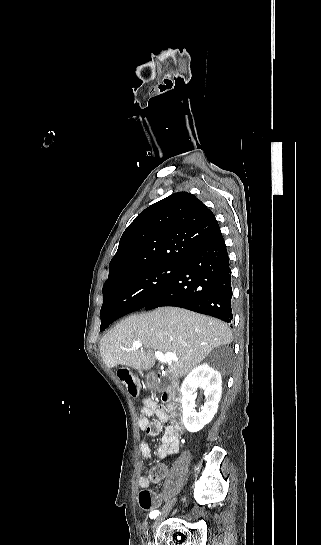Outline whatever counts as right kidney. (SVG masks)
Instances as JSON below:
<instances>
[{"label":"right kidney","mask_w":321,"mask_h":545,"mask_svg":"<svg viewBox=\"0 0 321 545\" xmlns=\"http://www.w3.org/2000/svg\"><path fill=\"white\" fill-rule=\"evenodd\" d=\"M221 383L219 371H214L207 363L199 365L185 377L181 387L183 423L189 433L201 431L216 415L222 395ZM198 387L203 389L205 395L201 413H195L193 393H196Z\"/></svg>","instance_id":"obj_1"}]
</instances>
